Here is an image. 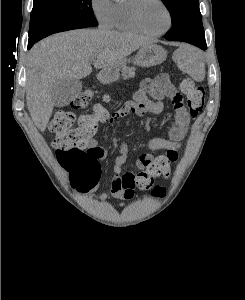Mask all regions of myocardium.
<instances>
[{
  "label": "myocardium",
  "instance_id": "1",
  "mask_svg": "<svg viewBox=\"0 0 245 300\" xmlns=\"http://www.w3.org/2000/svg\"><path fill=\"white\" fill-rule=\"evenodd\" d=\"M154 1L162 6V8L166 12V15L168 18L167 26L161 31H157V32L149 31L142 22L141 9H142L143 4L146 2V0H132V3L129 8L130 18H131V21L133 22V24L135 25V27L140 32H142L143 34L148 35V36L163 35L172 26V14H171V11H170L169 7L167 6V4L163 0H154Z\"/></svg>",
  "mask_w": 245,
  "mask_h": 300
}]
</instances>
